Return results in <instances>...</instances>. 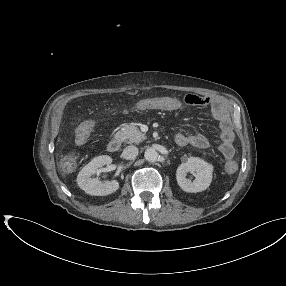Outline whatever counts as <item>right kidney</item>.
<instances>
[{
	"mask_svg": "<svg viewBox=\"0 0 286 286\" xmlns=\"http://www.w3.org/2000/svg\"><path fill=\"white\" fill-rule=\"evenodd\" d=\"M112 158L108 155H101L93 158L77 176L78 186L87 194L92 196H106L119 188V183L116 180L102 183L98 178L91 176L99 172L104 165H110Z\"/></svg>",
	"mask_w": 286,
	"mask_h": 286,
	"instance_id": "right-kidney-1",
	"label": "right kidney"
}]
</instances>
